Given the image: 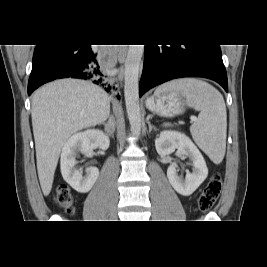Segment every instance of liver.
Returning <instances> with one entry per match:
<instances>
[{
    "label": "liver",
    "instance_id": "6515ba94",
    "mask_svg": "<svg viewBox=\"0 0 267 267\" xmlns=\"http://www.w3.org/2000/svg\"><path fill=\"white\" fill-rule=\"evenodd\" d=\"M109 96L89 81L62 79L38 89L32 97V127L42 192H51L61 149L79 130L103 123Z\"/></svg>",
    "mask_w": 267,
    "mask_h": 267
}]
</instances>
